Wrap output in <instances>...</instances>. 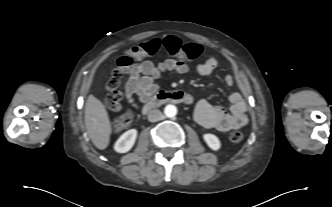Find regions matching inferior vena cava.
Wrapping results in <instances>:
<instances>
[{"label": "inferior vena cava", "instance_id": "1", "mask_svg": "<svg viewBox=\"0 0 332 207\" xmlns=\"http://www.w3.org/2000/svg\"><path fill=\"white\" fill-rule=\"evenodd\" d=\"M162 118H163V115H162L161 111L157 110V109L151 110L148 114V120L150 122H156V121L161 120Z\"/></svg>", "mask_w": 332, "mask_h": 207}]
</instances>
